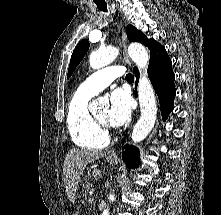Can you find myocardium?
<instances>
[{"label":"myocardium","instance_id":"obj_1","mask_svg":"<svg viewBox=\"0 0 221 215\" xmlns=\"http://www.w3.org/2000/svg\"><path fill=\"white\" fill-rule=\"evenodd\" d=\"M95 119H96V121L99 123V125H100L102 128H106V127H107L106 121L100 120L98 117H95Z\"/></svg>","mask_w":221,"mask_h":215}]
</instances>
